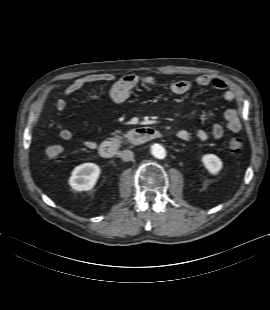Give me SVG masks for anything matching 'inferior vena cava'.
<instances>
[{
  "mask_svg": "<svg viewBox=\"0 0 270 310\" xmlns=\"http://www.w3.org/2000/svg\"><path fill=\"white\" fill-rule=\"evenodd\" d=\"M121 159L125 162L131 161L134 157V154L131 150H124L120 153Z\"/></svg>",
  "mask_w": 270,
  "mask_h": 310,
  "instance_id": "inferior-vena-cava-1",
  "label": "inferior vena cava"
}]
</instances>
